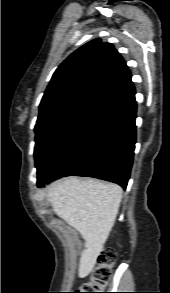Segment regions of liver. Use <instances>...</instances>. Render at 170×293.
I'll list each match as a JSON object with an SVG mask.
<instances>
[{
    "label": "liver",
    "instance_id": "obj_1",
    "mask_svg": "<svg viewBox=\"0 0 170 293\" xmlns=\"http://www.w3.org/2000/svg\"><path fill=\"white\" fill-rule=\"evenodd\" d=\"M123 190L117 184L69 177L52 183L47 197L57 216L75 228L85 241L78 276L86 277L115 224Z\"/></svg>",
    "mask_w": 170,
    "mask_h": 293
}]
</instances>
